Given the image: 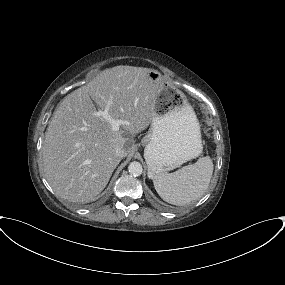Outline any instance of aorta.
Instances as JSON below:
<instances>
[{"instance_id":"762f6f07","label":"aorta","mask_w":285,"mask_h":285,"mask_svg":"<svg viewBox=\"0 0 285 285\" xmlns=\"http://www.w3.org/2000/svg\"><path fill=\"white\" fill-rule=\"evenodd\" d=\"M128 171L132 176H140L142 174L143 168L141 163L133 161L128 166Z\"/></svg>"}]
</instances>
